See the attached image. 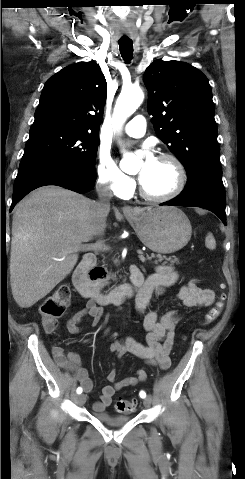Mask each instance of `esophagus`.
Instances as JSON below:
<instances>
[{"instance_id": "obj_1", "label": "esophagus", "mask_w": 245, "mask_h": 479, "mask_svg": "<svg viewBox=\"0 0 245 479\" xmlns=\"http://www.w3.org/2000/svg\"><path fill=\"white\" fill-rule=\"evenodd\" d=\"M122 211L124 214H131L134 212L133 208L131 206H124L122 208Z\"/></svg>"}]
</instances>
